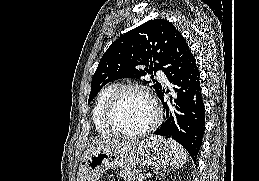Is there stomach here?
I'll use <instances>...</instances> for the list:
<instances>
[{"instance_id": "0dacf381", "label": "stomach", "mask_w": 259, "mask_h": 181, "mask_svg": "<svg viewBox=\"0 0 259 181\" xmlns=\"http://www.w3.org/2000/svg\"><path fill=\"white\" fill-rule=\"evenodd\" d=\"M173 160V152L163 137L151 136L123 148H94L82 157L77 181H98L108 169L131 170L136 166L164 169Z\"/></svg>"}]
</instances>
